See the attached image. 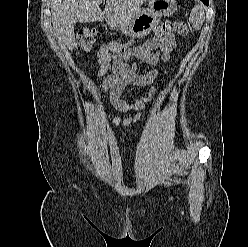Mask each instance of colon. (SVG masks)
Listing matches in <instances>:
<instances>
[{
	"label": "colon",
	"instance_id": "1",
	"mask_svg": "<svg viewBox=\"0 0 248 247\" xmlns=\"http://www.w3.org/2000/svg\"><path fill=\"white\" fill-rule=\"evenodd\" d=\"M189 31V28L186 23L180 21H165L163 22L156 30V37L166 36L172 32L178 33L180 35H186ZM96 37V31L92 28H85L79 34L78 47L80 50L87 51L91 48ZM129 44L121 42H111L104 44L99 50L100 59L110 54V52H121L125 50Z\"/></svg>",
	"mask_w": 248,
	"mask_h": 247
}]
</instances>
